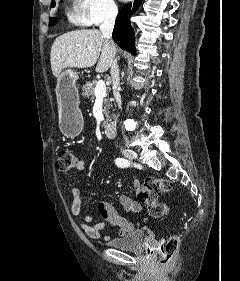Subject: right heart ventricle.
<instances>
[{
    "label": "right heart ventricle",
    "mask_w": 240,
    "mask_h": 281,
    "mask_svg": "<svg viewBox=\"0 0 240 281\" xmlns=\"http://www.w3.org/2000/svg\"><path fill=\"white\" fill-rule=\"evenodd\" d=\"M66 17L72 25L80 27L89 26L91 22L86 11V0H70Z\"/></svg>",
    "instance_id": "e07e8e85"
}]
</instances>
